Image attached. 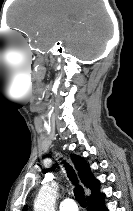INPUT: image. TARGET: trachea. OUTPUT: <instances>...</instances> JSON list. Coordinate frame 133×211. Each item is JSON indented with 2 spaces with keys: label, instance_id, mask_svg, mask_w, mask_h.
Here are the masks:
<instances>
[{
  "label": "trachea",
  "instance_id": "obj_1",
  "mask_svg": "<svg viewBox=\"0 0 133 211\" xmlns=\"http://www.w3.org/2000/svg\"><path fill=\"white\" fill-rule=\"evenodd\" d=\"M65 168L67 170V174L70 181L72 182L73 185H75L74 195L76 197V200L82 207H86L84 190L81 186L78 185V180L73 168L68 163H65Z\"/></svg>",
  "mask_w": 133,
  "mask_h": 211
}]
</instances>
